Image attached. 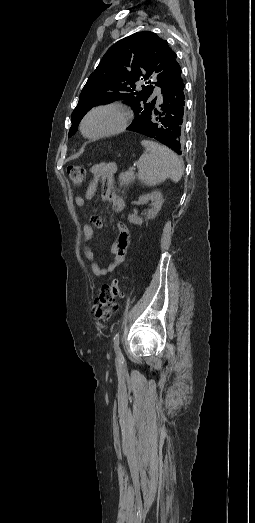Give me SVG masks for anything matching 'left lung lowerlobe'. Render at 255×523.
Segmentation results:
<instances>
[{"instance_id":"left-lung-lower-lobe-1","label":"left lung lower lobe","mask_w":255,"mask_h":523,"mask_svg":"<svg viewBox=\"0 0 255 523\" xmlns=\"http://www.w3.org/2000/svg\"><path fill=\"white\" fill-rule=\"evenodd\" d=\"M184 80L179 81V85H174L171 90L163 94L161 105L151 111V117L142 127H135L139 135L146 134V137H155L158 143L172 151L180 154L183 144V121H184V99L182 92H185Z\"/></svg>"}]
</instances>
